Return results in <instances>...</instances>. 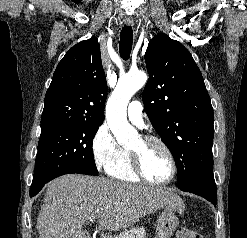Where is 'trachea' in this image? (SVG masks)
Instances as JSON below:
<instances>
[{"label":"trachea","mask_w":247,"mask_h":238,"mask_svg":"<svg viewBox=\"0 0 247 238\" xmlns=\"http://www.w3.org/2000/svg\"><path fill=\"white\" fill-rule=\"evenodd\" d=\"M133 43V31L131 26H124L120 34L119 53L124 60L130 58Z\"/></svg>","instance_id":"obj_1"}]
</instances>
